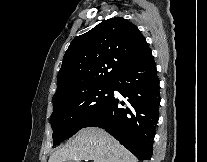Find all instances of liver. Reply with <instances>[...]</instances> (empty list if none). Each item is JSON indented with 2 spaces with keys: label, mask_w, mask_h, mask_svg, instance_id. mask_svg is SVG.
<instances>
[{
  "label": "liver",
  "mask_w": 207,
  "mask_h": 162,
  "mask_svg": "<svg viewBox=\"0 0 207 162\" xmlns=\"http://www.w3.org/2000/svg\"><path fill=\"white\" fill-rule=\"evenodd\" d=\"M138 162L137 158L105 130L97 127L81 129L62 148L52 153L48 162Z\"/></svg>",
  "instance_id": "1"
}]
</instances>
